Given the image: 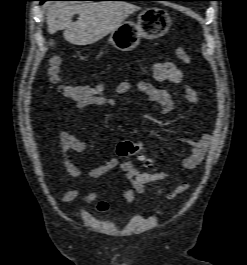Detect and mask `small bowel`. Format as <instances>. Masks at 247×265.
I'll use <instances>...</instances> for the list:
<instances>
[{
  "label": "small bowel",
  "instance_id": "1",
  "mask_svg": "<svg viewBox=\"0 0 247 265\" xmlns=\"http://www.w3.org/2000/svg\"><path fill=\"white\" fill-rule=\"evenodd\" d=\"M153 78L158 82H168L173 85H179L184 80L183 72L173 62H158L153 67ZM137 90L142 93L146 99L152 103L158 104L161 107L162 114L167 115L173 109L172 95L168 89L159 88L154 84L146 81L129 82L124 81L113 87L112 93L115 95H123L131 90ZM180 95L191 104L200 102L199 94L188 86H182ZM110 107H117V102L112 97L106 104ZM86 106L82 103H75V109L80 110ZM211 134H204L197 140L182 139L190 147L189 154L181 161L180 168L183 170H192L196 168L204 159L208 148L212 142ZM59 152L63 156L64 165L70 176L79 178L82 171L74 164L70 157V152L81 153L86 149V143L70 134L67 131L59 133ZM119 167L126 175L129 186L122 192L124 201L127 204H132L136 195H141L145 192L146 185L155 182L163 181L168 178V173L157 172L147 173L135 166L132 161H120L117 157H111L104 163L93 167L88 171V177L98 179L113 169ZM80 194V188H73L66 191L62 195V201L65 203L73 202ZM84 203H95V209L98 212H106L110 205L106 200L100 199L99 191L93 188L91 192L82 198Z\"/></svg>",
  "mask_w": 247,
  "mask_h": 265
}]
</instances>
